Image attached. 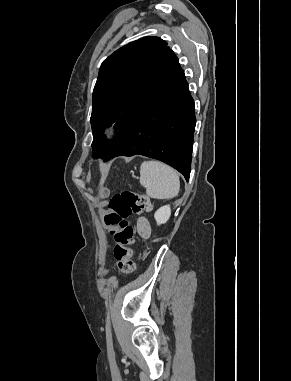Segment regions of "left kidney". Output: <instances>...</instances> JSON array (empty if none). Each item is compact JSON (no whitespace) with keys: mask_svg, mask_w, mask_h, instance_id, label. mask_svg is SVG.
<instances>
[{"mask_svg":"<svg viewBox=\"0 0 291 381\" xmlns=\"http://www.w3.org/2000/svg\"><path fill=\"white\" fill-rule=\"evenodd\" d=\"M171 215V208L169 205L160 207L154 214V218L158 225L166 223Z\"/></svg>","mask_w":291,"mask_h":381,"instance_id":"left-kidney-1","label":"left kidney"}]
</instances>
